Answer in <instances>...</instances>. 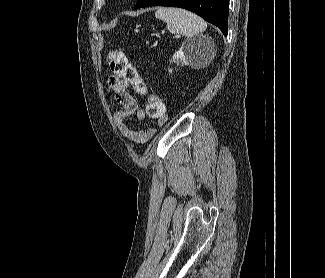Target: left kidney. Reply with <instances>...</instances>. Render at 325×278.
Wrapping results in <instances>:
<instances>
[{
    "label": "left kidney",
    "mask_w": 325,
    "mask_h": 278,
    "mask_svg": "<svg viewBox=\"0 0 325 278\" xmlns=\"http://www.w3.org/2000/svg\"><path fill=\"white\" fill-rule=\"evenodd\" d=\"M194 59L193 48L190 44L184 43L182 47L174 53L171 62H175L178 66L192 65ZM169 73L172 69L169 68Z\"/></svg>",
    "instance_id": "1"
}]
</instances>
